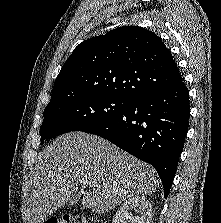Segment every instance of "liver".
<instances>
[{
	"mask_svg": "<svg viewBox=\"0 0 221 223\" xmlns=\"http://www.w3.org/2000/svg\"><path fill=\"white\" fill-rule=\"evenodd\" d=\"M82 182L92 191L81 204L102 214L126 199L154 193L159 178L149 164L99 136L61 135L38 154L28 223L44 222L76 194Z\"/></svg>",
	"mask_w": 221,
	"mask_h": 223,
	"instance_id": "liver-1",
	"label": "liver"
}]
</instances>
